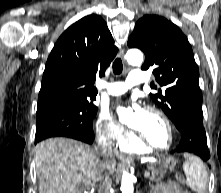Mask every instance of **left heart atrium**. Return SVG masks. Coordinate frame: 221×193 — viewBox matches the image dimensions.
I'll return each instance as SVG.
<instances>
[{"label": "left heart atrium", "mask_w": 221, "mask_h": 193, "mask_svg": "<svg viewBox=\"0 0 221 193\" xmlns=\"http://www.w3.org/2000/svg\"><path fill=\"white\" fill-rule=\"evenodd\" d=\"M131 106L134 109V115L137 117H140L144 113L143 108L135 100L131 102Z\"/></svg>", "instance_id": "39dd6f15"}]
</instances>
